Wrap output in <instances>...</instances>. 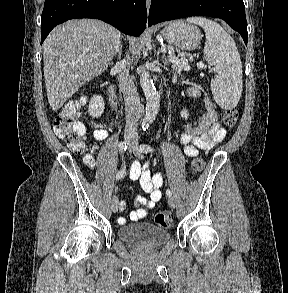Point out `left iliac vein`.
I'll list each match as a JSON object with an SVG mask.
<instances>
[{
  "instance_id": "obj_1",
  "label": "left iliac vein",
  "mask_w": 288,
  "mask_h": 293,
  "mask_svg": "<svg viewBox=\"0 0 288 293\" xmlns=\"http://www.w3.org/2000/svg\"><path fill=\"white\" fill-rule=\"evenodd\" d=\"M136 156H138L139 158H142V154L140 153V151H138L137 149V144H134L133 146V150H132ZM168 204L171 208H175L176 206V201L172 196L168 197Z\"/></svg>"
}]
</instances>
